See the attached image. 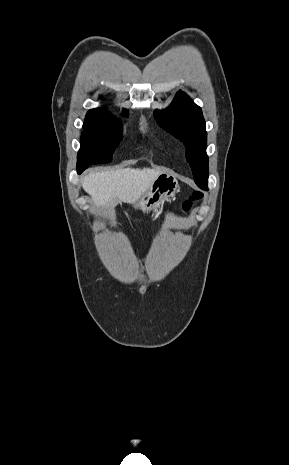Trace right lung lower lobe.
<instances>
[{
  "instance_id": "98d812e1",
  "label": "right lung lower lobe",
  "mask_w": 289,
  "mask_h": 465,
  "mask_svg": "<svg viewBox=\"0 0 289 465\" xmlns=\"http://www.w3.org/2000/svg\"><path fill=\"white\" fill-rule=\"evenodd\" d=\"M84 170L82 168H77L78 174H81Z\"/></svg>"
}]
</instances>
